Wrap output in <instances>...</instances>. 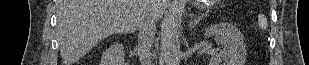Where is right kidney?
I'll list each match as a JSON object with an SVG mask.
<instances>
[{
  "label": "right kidney",
  "mask_w": 309,
  "mask_h": 65,
  "mask_svg": "<svg viewBox=\"0 0 309 65\" xmlns=\"http://www.w3.org/2000/svg\"><path fill=\"white\" fill-rule=\"evenodd\" d=\"M101 65H124V47L121 43L111 45L101 58Z\"/></svg>",
  "instance_id": "right-kidney-1"
}]
</instances>
